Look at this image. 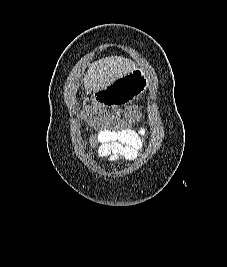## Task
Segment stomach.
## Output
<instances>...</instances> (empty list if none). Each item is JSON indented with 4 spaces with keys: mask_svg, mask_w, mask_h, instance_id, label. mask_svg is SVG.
<instances>
[{
    "mask_svg": "<svg viewBox=\"0 0 227 267\" xmlns=\"http://www.w3.org/2000/svg\"><path fill=\"white\" fill-rule=\"evenodd\" d=\"M141 72V68H135L131 73H124L123 77H114V82H109V87H98V91H93L89 104H103V107L134 104L136 96H143L146 83H153L144 82L147 74Z\"/></svg>",
    "mask_w": 227,
    "mask_h": 267,
    "instance_id": "obj_1",
    "label": "stomach"
}]
</instances>
